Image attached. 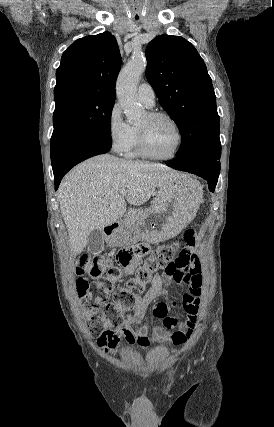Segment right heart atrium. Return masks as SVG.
Returning a JSON list of instances; mask_svg holds the SVG:
<instances>
[{
    "label": "right heart atrium",
    "mask_w": 274,
    "mask_h": 427,
    "mask_svg": "<svg viewBox=\"0 0 274 427\" xmlns=\"http://www.w3.org/2000/svg\"><path fill=\"white\" fill-rule=\"evenodd\" d=\"M106 130L112 150L117 153L124 152L132 139L133 130L124 121L118 104H114L109 110Z\"/></svg>",
    "instance_id": "obj_1"
}]
</instances>
